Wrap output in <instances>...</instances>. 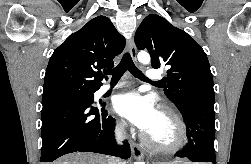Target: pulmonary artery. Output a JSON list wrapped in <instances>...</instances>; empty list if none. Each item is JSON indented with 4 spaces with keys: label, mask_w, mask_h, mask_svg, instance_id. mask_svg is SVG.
<instances>
[{
    "label": "pulmonary artery",
    "mask_w": 251,
    "mask_h": 164,
    "mask_svg": "<svg viewBox=\"0 0 251 164\" xmlns=\"http://www.w3.org/2000/svg\"><path fill=\"white\" fill-rule=\"evenodd\" d=\"M146 78L149 80V81H157L159 79H161V74L159 71L155 70V69H149L147 70L146 72ZM124 83H119L115 86H111L110 84H104L103 86L100 87V89L98 90V94L99 95H103L105 94L106 92L114 89V88H117L121 85H123Z\"/></svg>",
    "instance_id": "e3ab8cb5"
}]
</instances>
